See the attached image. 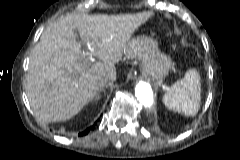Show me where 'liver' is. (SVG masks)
<instances>
[{"mask_svg": "<svg viewBox=\"0 0 240 160\" xmlns=\"http://www.w3.org/2000/svg\"><path fill=\"white\" fill-rule=\"evenodd\" d=\"M152 15L75 14L50 24L32 51L26 77L36 118L46 124L76 115L97 95L102 79H116L114 64L133 45L132 34ZM93 56L101 61L91 65Z\"/></svg>", "mask_w": 240, "mask_h": 160, "instance_id": "1", "label": "liver"}]
</instances>
